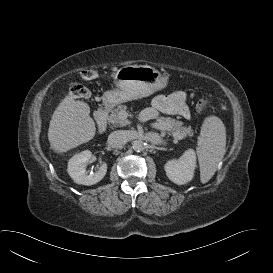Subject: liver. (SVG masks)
I'll use <instances>...</instances> for the list:
<instances>
[{
    "instance_id": "liver-1",
    "label": "liver",
    "mask_w": 273,
    "mask_h": 273,
    "mask_svg": "<svg viewBox=\"0 0 273 273\" xmlns=\"http://www.w3.org/2000/svg\"><path fill=\"white\" fill-rule=\"evenodd\" d=\"M89 114L87 103L70 96L64 98L50 121L48 140L51 148L64 153L93 139L96 127Z\"/></svg>"
}]
</instances>
